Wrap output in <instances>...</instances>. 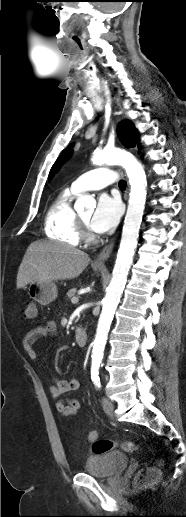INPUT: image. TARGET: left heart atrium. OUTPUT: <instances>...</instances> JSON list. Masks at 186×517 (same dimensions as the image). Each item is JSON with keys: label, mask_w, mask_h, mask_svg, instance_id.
<instances>
[{"label": "left heart atrium", "mask_w": 186, "mask_h": 517, "mask_svg": "<svg viewBox=\"0 0 186 517\" xmlns=\"http://www.w3.org/2000/svg\"><path fill=\"white\" fill-rule=\"evenodd\" d=\"M121 213L119 199L107 194L101 195L91 217L90 226L97 233H105L117 225Z\"/></svg>", "instance_id": "1"}]
</instances>
